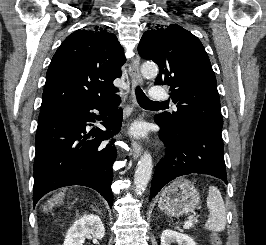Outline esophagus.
Returning <instances> with one entry per match:
<instances>
[{"mask_svg":"<svg viewBox=\"0 0 266 245\" xmlns=\"http://www.w3.org/2000/svg\"><path fill=\"white\" fill-rule=\"evenodd\" d=\"M140 58L138 55H135V57L132 58L131 60V65L129 68V74L132 80V96H133V101L136 105V99H135V95H134V89L138 84H142L143 80L140 74ZM132 150H133V158L136 160L137 158L140 157L142 150H143V146L142 143L139 142H133L132 143Z\"/></svg>","mask_w":266,"mask_h":245,"instance_id":"1","label":"esophagus"}]
</instances>
